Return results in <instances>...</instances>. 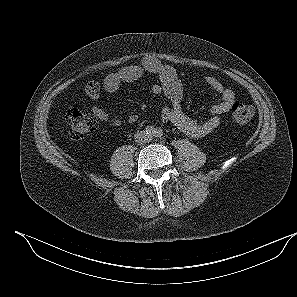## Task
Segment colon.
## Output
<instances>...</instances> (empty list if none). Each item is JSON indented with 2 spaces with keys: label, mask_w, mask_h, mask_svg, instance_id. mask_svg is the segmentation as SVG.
<instances>
[{
  "label": "colon",
  "mask_w": 297,
  "mask_h": 297,
  "mask_svg": "<svg viewBox=\"0 0 297 297\" xmlns=\"http://www.w3.org/2000/svg\"><path fill=\"white\" fill-rule=\"evenodd\" d=\"M230 115L234 124L244 126L252 121L255 109L250 104L235 102L231 106ZM66 120L70 125L69 135L73 140L82 139L97 128V121L93 116L76 108L67 111Z\"/></svg>",
  "instance_id": "1"
}]
</instances>
